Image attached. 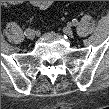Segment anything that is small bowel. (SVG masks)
<instances>
[{
    "label": "small bowel",
    "instance_id": "c3829d8e",
    "mask_svg": "<svg viewBox=\"0 0 109 109\" xmlns=\"http://www.w3.org/2000/svg\"><path fill=\"white\" fill-rule=\"evenodd\" d=\"M50 1H33V5L41 10L47 9L50 6Z\"/></svg>",
    "mask_w": 109,
    "mask_h": 109
}]
</instances>
